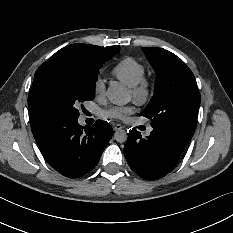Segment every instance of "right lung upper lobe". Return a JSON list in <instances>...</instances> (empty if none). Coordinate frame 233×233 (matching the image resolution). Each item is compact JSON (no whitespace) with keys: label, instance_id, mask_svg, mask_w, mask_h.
Wrapping results in <instances>:
<instances>
[{"label":"right lung upper lobe","instance_id":"1","mask_svg":"<svg viewBox=\"0 0 233 233\" xmlns=\"http://www.w3.org/2000/svg\"><path fill=\"white\" fill-rule=\"evenodd\" d=\"M119 50V46L103 48L88 44H71L57 51L45 63L65 60L86 68H101L102 64L118 53Z\"/></svg>","mask_w":233,"mask_h":233}]
</instances>
